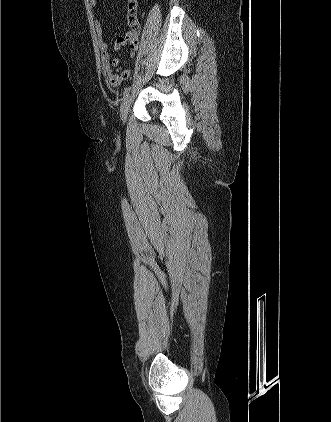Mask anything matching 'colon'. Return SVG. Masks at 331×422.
Instances as JSON below:
<instances>
[{"instance_id": "5ec220e1", "label": "colon", "mask_w": 331, "mask_h": 422, "mask_svg": "<svg viewBox=\"0 0 331 422\" xmlns=\"http://www.w3.org/2000/svg\"><path fill=\"white\" fill-rule=\"evenodd\" d=\"M129 9H130V17H131V20H132V21L136 20V13H135V9H134V4H133V2H131V3L129 4Z\"/></svg>"}]
</instances>
